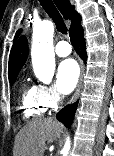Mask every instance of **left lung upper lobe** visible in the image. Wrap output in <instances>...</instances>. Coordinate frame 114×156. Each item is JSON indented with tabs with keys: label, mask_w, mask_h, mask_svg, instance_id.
Here are the masks:
<instances>
[{
	"label": "left lung upper lobe",
	"mask_w": 114,
	"mask_h": 156,
	"mask_svg": "<svg viewBox=\"0 0 114 156\" xmlns=\"http://www.w3.org/2000/svg\"><path fill=\"white\" fill-rule=\"evenodd\" d=\"M21 33V29L16 33V36H15V40L16 38L18 37V35Z\"/></svg>",
	"instance_id": "left-lung-upper-lobe-1"
}]
</instances>
